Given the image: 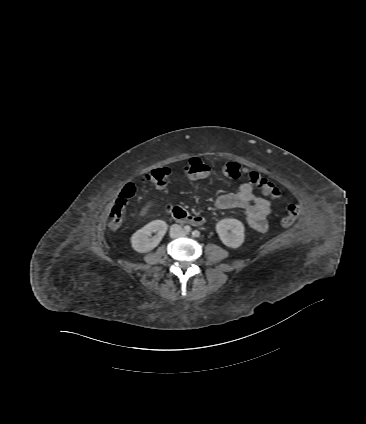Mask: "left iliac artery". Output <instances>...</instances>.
<instances>
[{
  "label": "left iliac artery",
  "instance_id": "1",
  "mask_svg": "<svg viewBox=\"0 0 366 424\" xmlns=\"http://www.w3.org/2000/svg\"><path fill=\"white\" fill-rule=\"evenodd\" d=\"M193 237H199L200 236V232L198 230H194L192 232Z\"/></svg>",
  "mask_w": 366,
  "mask_h": 424
}]
</instances>
